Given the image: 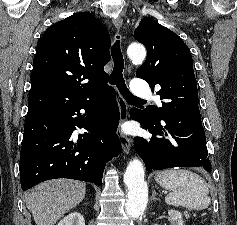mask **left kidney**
<instances>
[{"label": "left kidney", "instance_id": "left-kidney-1", "mask_svg": "<svg viewBox=\"0 0 237 225\" xmlns=\"http://www.w3.org/2000/svg\"><path fill=\"white\" fill-rule=\"evenodd\" d=\"M169 221L171 225H184L182 214L177 210H169Z\"/></svg>", "mask_w": 237, "mask_h": 225}]
</instances>
